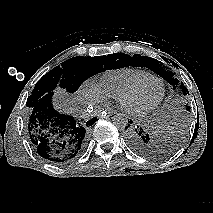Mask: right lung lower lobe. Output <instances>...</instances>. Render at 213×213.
I'll list each match as a JSON object with an SVG mask.
<instances>
[{
    "label": "right lung lower lobe",
    "instance_id": "obj_1",
    "mask_svg": "<svg viewBox=\"0 0 213 213\" xmlns=\"http://www.w3.org/2000/svg\"><path fill=\"white\" fill-rule=\"evenodd\" d=\"M53 92L44 95L26 117V128L31 145L40 157L53 164H64L76 159L84 150L87 133L98 120L85 124L72 116L58 112L52 104Z\"/></svg>",
    "mask_w": 213,
    "mask_h": 213
}]
</instances>
